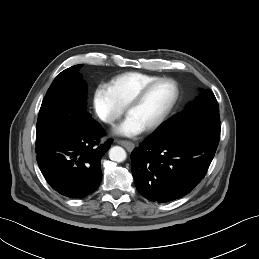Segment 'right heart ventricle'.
Segmentation results:
<instances>
[{
    "instance_id": "obj_1",
    "label": "right heart ventricle",
    "mask_w": 259,
    "mask_h": 259,
    "mask_svg": "<svg viewBox=\"0 0 259 259\" xmlns=\"http://www.w3.org/2000/svg\"><path fill=\"white\" fill-rule=\"evenodd\" d=\"M159 78L155 75L126 72L112 78L106 85L118 106L124 108L129 99L144 85Z\"/></svg>"
}]
</instances>
